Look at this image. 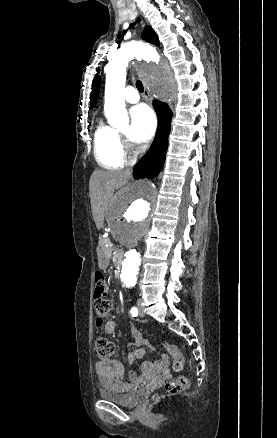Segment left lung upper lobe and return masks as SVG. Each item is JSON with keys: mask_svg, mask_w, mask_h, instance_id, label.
<instances>
[{"mask_svg": "<svg viewBox=\"0 0 277 438\" xmlns=\"http://www.w3.org/2000/svg\"><path fill=\"white\" fill-rule=\"evenodd\" d=\"M142 38L149 43L159 45V41H158V37H157L156 33L149 26L145 27V29L142 33ZM98 73H99V70H97V74L95 75V78H94L93 84H92V92H91V96H90L91 107L94 106L96 99L98 97V93H99L101 79H100Z\"/></svg>", "mask_w": 277, "mask_h": 438, "instance_id": "left-lung-upper-lobe-1", "label": "left lung upper lobe"}]
</instances>
